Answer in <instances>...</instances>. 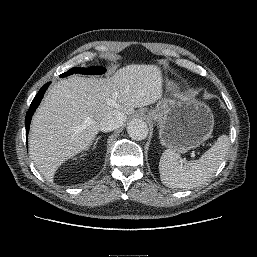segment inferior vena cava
Returning a JSON list of instances; mask_svg holds the SVG:
<instances>
[{
    "instance_id": "1",
    "label": "inferior vena cava",
    "mask_w": 257,
    "mask_h": 257,
    "mask_svg": "<svg viewBox=\"0 0 257 257\" xmlns=\"http://www.w3.org/2000/svg\"><path fill=\"white\" fill-rule=\"evenodd\" d=\"M125 120L123 113L114 111L113 113L107 114L101 118L99 122L100 130L103 132L112 131L120 127Z\"/></svg>"
}]
</instances>
